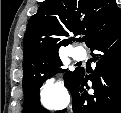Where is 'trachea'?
Wrapping results in <instances>:
<instances>
[{
    "label": "trachea",
    "mask_w": 121,
    "mask_h": 113,
    "mask_svg": "<svg viewBox=\"0 0 121 113\" xmlns=\"http://www.w3.org/2000/svg\"><path fill=\"white\" fill-rule=\"evenodd\" d=\"M80 41H85V39H81Z\"/></svg>",
    "instance_id": "3493384b"
}]
</instances>
